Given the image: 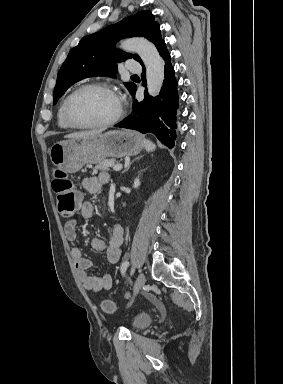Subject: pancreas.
Masks as SVG:
<instances>
[{"instance_id": "obj_1", "label": "pancreas", "mask_w": 283, "mask_h": 384, "mask_svg": "<svg viewBox=\"0 0 283 384\" xmlns=\"http://www.w3.org/2000/svg\"><path fill=\"white\" fill-rule=\"evenodd\" d=\"M115 164L116 166L118 164L115 160H103V162L96 164L95 168L96 170H101V172H109L110 168H114Z\"/></svg>"}]
</instances>
